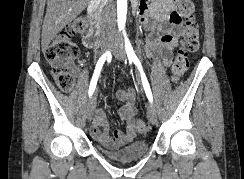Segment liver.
<instances>
[{"mask_svg": "<svg viewBox=\"0 0 244 179\" xmlns=\"http://www.w3.org/2000/svg\"><path fill=\"white\" fill-rule=\"evenodd\" d=\"M89 2L90 0H48L41 34L42 52H46L56 34L75 20Z\"/></svg>", "mask_w": 244, "mask_h": 179, "instance_id": "obj_1", "label": "liver"}]
</instances>
